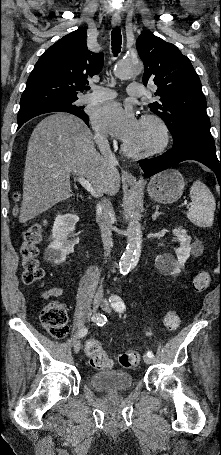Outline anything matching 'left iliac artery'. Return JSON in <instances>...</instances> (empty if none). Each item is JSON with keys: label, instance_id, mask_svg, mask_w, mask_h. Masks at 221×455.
<instances>
[{"label": "left iliac artery", "instance_id": "44dca946", "mask_svg": "<svg viewBox=\"0 0 221 455\" xmlns=\"http://www.w3.org/2000/svg\"><path fill=\"white\" fill-rule=\"evenodd\" d=\"M109 301L111 303L112 308L117 312H123L126 308L123 300L118 295H112ZM147 355L151 358L154 357L152 351H148Z\"/></svg>", "mask_w": 221, "mask_h": 455}]
</instances>
